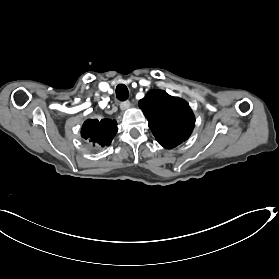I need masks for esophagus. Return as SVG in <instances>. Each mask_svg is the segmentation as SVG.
Listing matches in <instances>:
<instances>
[{"label": "esophagus", "instance_id": "1", "mask_svg": "<svg viewBox=\"0 0 279 279\" xmlns=\"http://www.w3.org/2000/svg\"><path fill=\"white\" fill-rule=\"evenodd\" d=\"M129 107H130V102L128 100L124 101L120 104V110H122V111L128 109Z\"/></svg>", "mask_w": 279, "mask_h": 279}]
</instances>
